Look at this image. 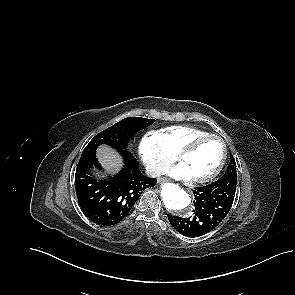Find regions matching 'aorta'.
<instances>
[{
    "mask_svg": "<svg viewBox=\"0 0 295 295\" xmlns=\"http://www.w3.org/2000/svg\"><path fill=\"white\" fill-rule=\"evenodd\" d=\"M161 197L168 210L181 212L190 205V197L186 191L174 183H165L161 188Z\"/></svg>",
    "mask_w": 295,
    "mask_h": 295,
    "instance_id": "obj_1",
    "label": "aorta"
}]
</instances>
